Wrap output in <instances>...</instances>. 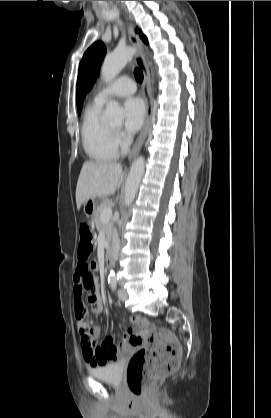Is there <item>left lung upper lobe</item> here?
<instances>
[{
    "instance_id": "1",
    "label": "left lung upper lobe",
    "mask_w": 271,
    "mask_h": 418,
    "mask_svg": "<svg viewBox=\"0 0 271 418\" xmlns=\"http://www.w3.org/2000/svg\"><path fill=\"white\" fill-rule=\"evenodd\" d=\"M141 39L147 44V38L139 31ZM106 48L102 42H95L91 45L85 54L79 65V73L77 78L76 89V102L78 113L80 114L82 109L83 100L87 91H89L93 85L96 76L99 73L101 62L105 56Z\"/></svg>"
}]
</instances>
